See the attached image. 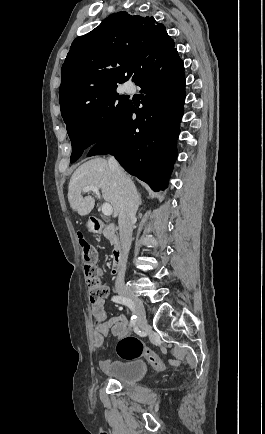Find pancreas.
I'll use <instances>...</instances> for the list:
<instances>
[{"label":"pancreas","mask_w":265,"mask_h":434,"mask_svg":"<svg viewBox=\"0 0 265 434\" xmlns=\"http://www.w3.org/2000/svg\"><path fill=\"white\" fill-rule=\"evenodd\" d=\"M111 244H115V242H111Z\"/></svg>","instance_id":"1"}]
</instances>
